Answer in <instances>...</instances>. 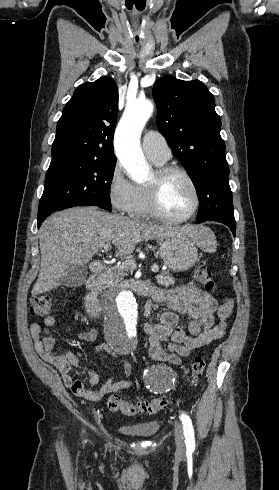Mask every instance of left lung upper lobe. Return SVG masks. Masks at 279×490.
Masks as SVG:
<instances>
[{
	"mask_svg": "<svg viewBox=\"0 0 279 490\" xmlns=\"http://www.w3.org/2000/svg\"><path fill=\"white\" fill-rule=\"evenodd\" d=\"M153 97L158 106V130L195 185L200 203L197 222H235L229 167L213 95L199 80L165 76L155 82Z\"/></svg>",
	"mask_w": 279,
	"mask_h": 490,
	"instance_id": "left-lung-upper-lobe-1",
	"label": "left lung upper lobe"
}]
</instances>
